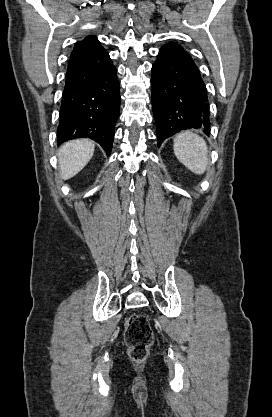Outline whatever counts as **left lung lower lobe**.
<instances>
[{
	"instance_id": "left-lung-lower-lobe-1",
	"label": "left lung lower lobe",
	"mask_w": 272,
	"mask_h": 417,
	"mask_svg": "<svg viewBox=\"0 0 272 417\" xmlns=\"http://www.w3.org/2000/svg\"><path fill=\"white\" fill-rule=\"evenodd\" d=\"M151 86L158 145L180 130L210 133L207 89L186 51L163 46L152 66Z\"/></svg>"
}]
</instances>
